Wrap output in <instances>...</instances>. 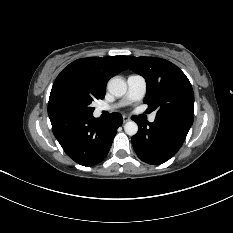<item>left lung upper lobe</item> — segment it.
<instances>
[{
    "instance_id": "left-lung-upper-lobe-1",
    "label": "left lung upper lobe",
    "mask_w": 233,
    "mask_h": 233,
    "mask_svg": "<svg viewBox=\"0 0 233 233\" xmlns=\"http://www.w3.org/2000/svg\"><path fill=\"white\" fill-rule=\"evenodd\" d=\"M129 68L143 76L147 91L144 103L148 111L192 125L194 93L186 75L173 63L155 57L122 56Z\"/></svg>"
}]
</instances>
